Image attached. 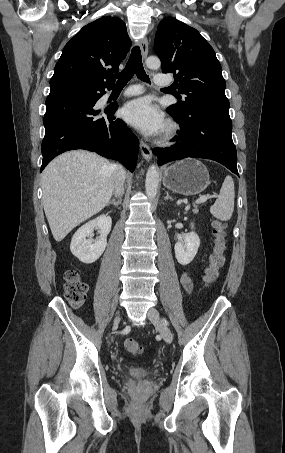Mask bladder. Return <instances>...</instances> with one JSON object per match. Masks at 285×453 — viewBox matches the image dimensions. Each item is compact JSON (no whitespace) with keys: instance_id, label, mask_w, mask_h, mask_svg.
<instances>
[{"instance_id":"obj_1","label":"bladder","mask_w":285,"mask_h":453,"mask_svg":"<svg viewBox=\"0 0 285 453\" xmlns=\"http://www.w3.org/2000/svg\"><path fill=\"white\" fill-rule=\"evenodd\" d=\"M128 374L135 378H146L154 374V371L146 367H132Z\"/></svg>"}]
</instances>
